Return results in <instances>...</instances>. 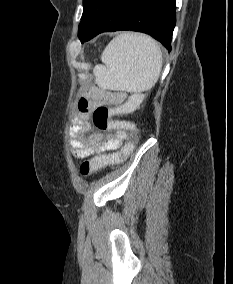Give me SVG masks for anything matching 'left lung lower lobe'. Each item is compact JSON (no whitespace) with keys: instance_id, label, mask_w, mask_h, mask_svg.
Masks as SVG:
<instances>
[{"instance_id":"obj_1","label":"left lung lower lobe","mask_w":233,"mask_h":284,"mask_svg":"<svg viewBox=\"0 0 233 284\" xmlns=\"http://www.w3.org/2000/svg\"><path fill=\"white\" fill-rule=\"evenodd\" d=\"M176 0H105L97 10L91 28L80 39L88 41L102 32L132 30L144 32L171 51L175 27Z\"/></svg>"}]
</instances>
